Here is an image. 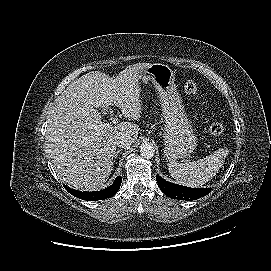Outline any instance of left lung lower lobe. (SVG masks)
Returning <instances> with one entry per match:
<instances>
[{"instance_id": "1", "label": "left lung lower lobe", "mask_w": 271, "mask_h": 271, "mask_svg": "<svg viewBox=\"0 0 271 271\" xmlns=\"http://www.w3.org/2000/svg\"><path fill=\"white\" fill-rule=\"evenodd\" d=\"M156 180L160 189L170 198L179 200H195L204 197L211 192V188H189L178 184L170 183L159 175Z\"/></svg>"}]
</instances>
